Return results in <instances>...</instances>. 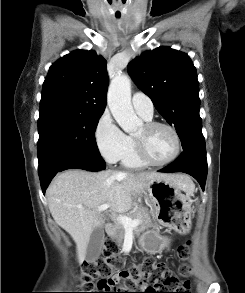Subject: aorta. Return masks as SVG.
<instances>
[{"label": "aorta", "mask_w": 245, "mask_h": 293, "mask_svg": "<svg viewBox=\"0 0 245 293\" xmlns=\"http://www.w3.org/2000/svg\"><path fill=\"white\" fill-rule=\"evenodd\" d=\"M108 106L119 126L126 133L135 132L142 121L131 104V81L126 75L115 76L108 89Z\"/></svg>", "instance_id": "aorta-1"}]
</instances>
